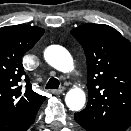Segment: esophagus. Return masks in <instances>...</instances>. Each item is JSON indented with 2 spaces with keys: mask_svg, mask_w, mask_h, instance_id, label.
Instances as JSON below:
<instances>
[{
  "mask_svg": "<svg viewBox=\"0 0 131 131\" xmlns=\"http://www.w3.org/2000/svg\"><path fill=\"white\" fill-rule=\"evenodd\" d=\"M51 92H52V94H54V95L62 94V93L64 92V87H61V88H59V89L52 90Z\"/></svg>",
  "mask_w": 131,
  "mask_h": 131,
  "instance_id": "34e87169",
  "label": "esophagus"
}]
</instances>
